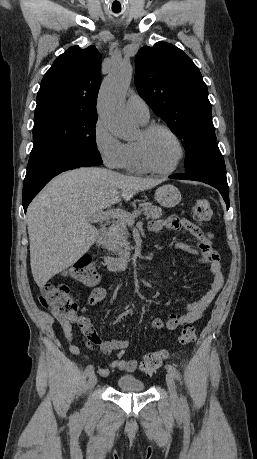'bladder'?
<instances>
[{
    "mask_svg": "<svg viewBox=\"0 0 257 459\" xmlns=\"http://www.w3.org/2000/svg\"><path fill=\"white\" fill-rule=\"evenodd\" d=\"M116 388L125 393H142L146 390V385L134 376L121 375L116 380Z\"/></svg>",
    "mask_w": 257,
    "mask_h": 459,
    "instance_id": "bladder-1",
    "label": "bladder"
}]
</instances>
